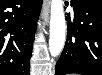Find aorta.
Wrapping results in <instances>:
<instances>
[{"label":"aorta","mask_w":102,"mask_h":75,"mask_svg":"<svg viewBox=\"0 0 102 75\" xmlns=\"http://www.w3.org/2000/svg\"><path fill=\"white\" fill-rule=\"evenodd\" d=\"M65 15L62 0L51 1L49 51L53 57L60 54L65 43Z\"/></svg>","instance_id":"aorta-1"}]
</instances>
